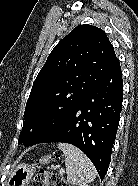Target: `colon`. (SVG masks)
Wrapping results in <instances>:
<instances>
[{
    "label": "colon",
    "mask_w": 138,
    "mask_h": 186,
    "mask_svg": "<svg viewBox=\"0 0 138 186\" xmlns=\"http://www.w3.org/2000/svg\"><path fill=\"white\" fill-rule=\"evenodd\" d=\"M31 186H67L65 179L56 172L41 170L35 176Z\"/></svg>",
    "instance_id": "1"
}]
</instances>
